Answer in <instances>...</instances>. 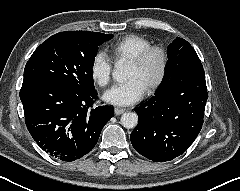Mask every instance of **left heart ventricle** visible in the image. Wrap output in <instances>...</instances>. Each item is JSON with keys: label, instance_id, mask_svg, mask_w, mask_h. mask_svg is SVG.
Returning <instances> with one entry per match:
<instances>
[{"label": "left heart ventricle", "instance_id": "left-heart-ventricle-1", "mask_svg": "<svg viewBox=\"0 0 240 191\" xmlns=\"http://www.w3.org/2000/svg\"><path fill=\"white\" fill-rule=\"evenodd\" d=\"M161 67V60L158 54H153L143 65L136 66L128 64L126 78H138L146 88L158 76Z\"/></svg>", "mask_w": 240, "mask_h": 191}]
</instances>
